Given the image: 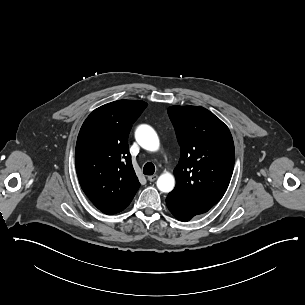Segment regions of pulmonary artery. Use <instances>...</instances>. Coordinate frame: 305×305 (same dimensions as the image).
<instances>
[{"instance_id":"obj_1","label":"pulmonary artery","mask_w":305,"mask_h":305,"mask_svg":"<svg viewBox=\"0 0 305 305\" xmlns=\"http://www.w3.org/2000/svg\"><path fill=\"white\" fill-rule=\"evenodd\" d=\"M160 156H161L162 158H166V157L168 156V153H167L166 151H162V152L160 153Z\"/></svg>"}]
</instances>
